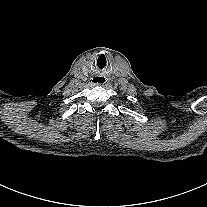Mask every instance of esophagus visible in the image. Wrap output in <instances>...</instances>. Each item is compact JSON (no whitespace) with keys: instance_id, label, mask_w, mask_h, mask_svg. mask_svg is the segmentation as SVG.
<instances>
[{"instance_id":"34e87169","label":"esophagus","mask_w":207,"mask_h":207,"mask_svg":"<svg viewBox=\"0 0 207 207\" xmlns=\"http://www.w3.org/2000/svg\"><path fill=\"white\" fill-rule=\"evenodd\" d=\"M94 82L97 86L102 87L106 84L107 79L104 75L99 74L95 77Z\"/></svg>"}]
</instances>
